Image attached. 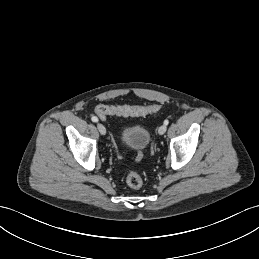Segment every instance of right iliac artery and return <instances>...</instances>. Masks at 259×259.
I'll return each instance as SVG.
<instances>
[{
    "instance_id": "1",
    "label": "right iliac artery",
    "mask_w": 259,
    "mask_h": 259,
    "mask_svg": "<svg viewBox=\"0 0 259 259\" xmlns=\"http://www.w3.org/2000/svg\"><path fill=\"white\" fill-rule=\"evenodd\" d=\"M91 120H92L93 122H98V118H97L96 116H93V117L91 118Z\"/></svg>"
}]
</instances>
